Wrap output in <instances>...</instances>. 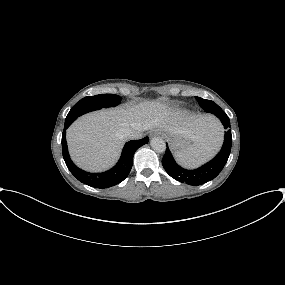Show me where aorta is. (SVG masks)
<instances>
[{
    "instance_id": "obj_1",
    "label": "aorta",
    "mask_w": 285,
    "mask_h": 285,
    "mask_svg": "<svg viewBox=\"0 0 285 285\" xmlns=\"http://www.w3.org/2000/svg\"><path fill=\"white\" fill-rule=\"evenodd\" d=\"M150 145L152 149L158 153H163L166 150V144L164 140L160 137L152 138Z\"/></svg>"
}]
</instances>
